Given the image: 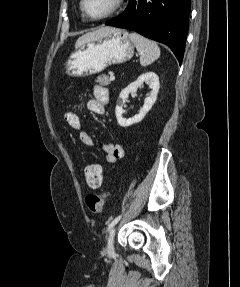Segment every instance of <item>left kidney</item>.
Returning a JSON list of instances; mask_svg holds the SVG:
<instances>
[{
	"mask_svg": "<svg viewBox=\"0 0 240 287\" xmlns=\"http://www.w3.org/2000/svg\"><path fill=\"white\" fill-rule=\"evenodd\" d=\"M143 83L148 84L149 87L151 88L150 95L145 99L144 105L140 109L138 114H136L132 118H128V119L123 118L122 115L124 113V110L122 107L126 99L128 98L130 93L135 92L138 87H141L143 85ZM159 88H160L159 77L154 72L143 73L142 75L138 77L136 81H134L133 83H130L126 88H124L119 95V98L117 100V105L115 108V114H116L118 124L121 127H129L135 123H139L140 121H142L144 117L146 116V114L150 111V109L154 105L157 99Z\"/></svg>",
	"mask_w": 240,
	"mask_h": 287,
	"instance_id": "obj_1",
	"label": "left kidney"
}]
</instances>
